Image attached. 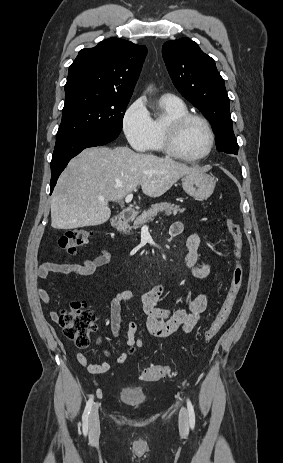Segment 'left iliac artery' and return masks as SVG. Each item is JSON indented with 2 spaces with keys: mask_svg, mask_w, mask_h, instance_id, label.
<instances>
[{
  "mask_svg": "<svg viewBox=\"0 0 283 463\" xmlns=\"http://www.w3.org/2000/svg\"><path fill=\"white\" fill-rule=\"evenodd\" d=\"M187 409H188V414H189V423L191 428L193 429L195 426V412L193 405L189 399H187Z\"/></svg>",
  "mask_w": 283,
  "mask_h": 463,
  "instance_id": "left-iliac-artery-1",
  "label": "left iliac artery"
}]
</instances>
